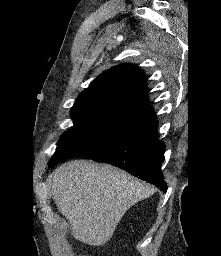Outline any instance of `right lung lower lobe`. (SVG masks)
I'll return each instance as SVG.
<instances>
[{
  "label": "right lung lower lobe",
  "instance_id": "right-lung-lower-lobe-1",
  "mask_svg": "<svg viewBox=\"0 0 221 256\" xmlns=\"http://www.w3.org/2000/svg\"><path fill=\"white\" fill-rule=\"evenodd\" d=\"M157 126L153 118L107 140L82 157L122 168L166 193L167 184L161 173L165 145L157 138Z\"/></svg>",
  "mask_w": 221,
  "mask_h": 256
}]
</instances>
